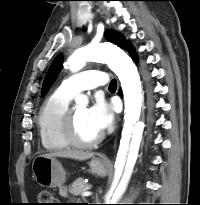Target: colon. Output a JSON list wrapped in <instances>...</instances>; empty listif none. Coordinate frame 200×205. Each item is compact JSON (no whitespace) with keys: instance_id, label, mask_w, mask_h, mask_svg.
Segmentation results:
<instances>
[{"instance_id":"5ec220e1","label":"colon","mask_w":200,"mask_h":205,"mask_svg":"<svg viewBox=\"0 0 200 205\" xmlns=\"http://www.w3.org/2000/svg\"><path fill=\"white\" fill-rule=\"evenodd\" d=\"M38 205H55V199L50 191L41 190L38 193Z\"/></svg>"}]
</instances>
